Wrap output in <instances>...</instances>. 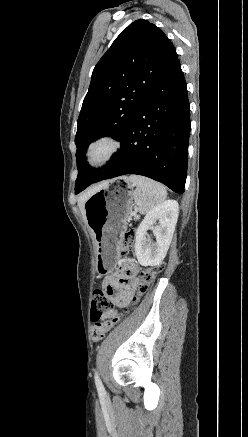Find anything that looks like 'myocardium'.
I'll use <instances>...</instances> for the list:
<instances>
[{"instance_id": "obj_1", "label": "myocardium", "mask_w": 248, "mask_h": 437, "mask_svg": "<svg viewBox=\"0 0 248 437\" xmlns=\"http://www.w3.org/2000/svg\"><path fill=\"white\" fill-rule=\"evenodd\" d=\"M104 151L97 154V149ZM121 149V142L111 134H101L88 143L85 150V164L88 169L96 170L110 163Z\"/></svg>"}]
</instances>
